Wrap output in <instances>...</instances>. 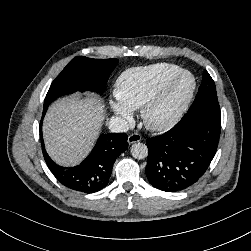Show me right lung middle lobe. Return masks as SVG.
<instances>
[{
	"instance_id": "1",
	"label": "right lung middle lobe",
	"mask_w": 251,
	"mask_h": 251,
	"mask_svg": "<svg viewBox=\"0 0 251 251\" xmlns=\"http://www.w3.org/2000/svg\"><path fill=\"white\" fill-rule=\"evenodd\" d=\"M118 64V59L75 57L52 82L44 100V109L56 98L76 91L100 92Z\"/></svg>"
}]
</instances>
